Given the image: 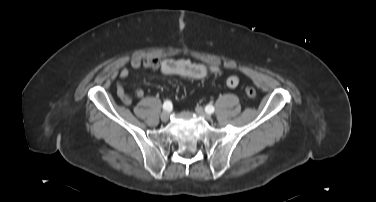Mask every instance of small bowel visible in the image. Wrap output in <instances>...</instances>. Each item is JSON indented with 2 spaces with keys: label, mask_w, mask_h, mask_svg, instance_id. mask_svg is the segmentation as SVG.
I'll use <instances>...</instances> for the list:
<instances>
[{
  "label": "small bowel",
  "mask_w": 376,
  "mask_h": 202,
  "mask_svg": "<svg viewBox=\"0 0 376 202\" xmlns=\"http://www.w3.org/2000/svg\"><path fill=\"white\" fill-rule=\"evenodd\" d=\"M130 66L133 69L144 67L147 69L157 70L163 75H173L191 79H204L211 74L220 72L216 65L195 63L187 59L161 60L156 57H135L132 58ZM129 75L130 70L127 67H124L119 71V77L121 79H126ZM224 83L227 87L234 88L238 85L239 79L236 76H229L224 80ZM115 93L123 104L130 105L132 103L131 96L125 91L124 87L119 82L116 84ZM144 94L145 92L141 88H138L135 91V96L137 98H143Z\"/></svg>",
  "instance_id": "obj_1"
}]
</instances>
